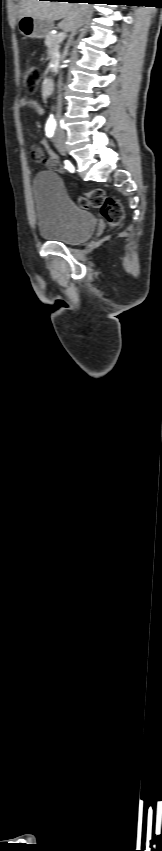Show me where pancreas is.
<instances>
[{
  "label": "pancreas",
  "mask_w": 162,
  "mask_h": 851,
  "mask_svg": "<svg viewBox=\"0 0 162 851\" xmlns=\"http://www.w3.org/2000/svg\"><path fill=\"white\" fill-rule=\"evenodd\" d=\"M62 39L58 38L57 34L49 33L45 38V45L48 47L49 53L51 55V61L56 63V53L59 52L60 43Z\"/></svg>",
  "instance_id": "obj_1"
}]
</instances>
